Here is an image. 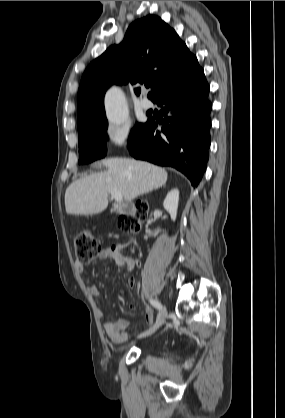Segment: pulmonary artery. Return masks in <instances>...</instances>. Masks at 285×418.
Listing matches in <instances>:
<instances>
[{
  "label": "pulmonary artery",
  "mask_w": 285,
  "mask_h": 418,
  "mask_svg": "<svg viewBox=\"0 0 285 418\" xmlns=\"http://www.w3.org/2000/svg\"><path fill=\"white\" fill-rule=\"evenodd\" d=\"M140 106H141V108H142V109H144V110H149V109H151V108H152L153 103L151 102V100H150V99H148V98L144 97V98H142V99H141V101H140Z\"/></svg>",
  "instance_id": "obj_1"
}]
</instances>
